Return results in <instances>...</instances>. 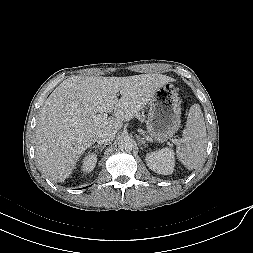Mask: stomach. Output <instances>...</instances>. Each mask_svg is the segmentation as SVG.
Wrapping results in <instances>:
<instances>
[{"mask_svg": "<svg viewBox=\"0 0 253 253\" xmlns=\"http://www.w3.org/2000/svg\"><path fill=\"white\" fill-rule=\"evenodd\" d=\"M147 133L159 143L170 139L180 128L181 108L178 93L171 83L160 87L149 103Z\"/></svg>", "mask_w": 253, "mask_h": 253, "instance_id": "obj_1", "label": "stomach"}]
</instances>
